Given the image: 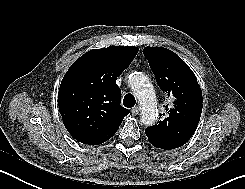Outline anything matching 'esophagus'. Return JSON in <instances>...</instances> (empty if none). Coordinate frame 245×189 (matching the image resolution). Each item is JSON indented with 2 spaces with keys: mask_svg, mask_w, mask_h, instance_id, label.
Instances as JSON below:
<instances>
[{
  "mask_svg": "<svg viewBox=\"0 0 245 189\" xmlns=\"http://www.w3.org/2000/svg\"><path fill=\"white\" fill-rule=\"evenodd\" d=\"M131 112H132V115H133V116H136V115H138V113L140 112V109H139V107H134V108L131 110Z\"/></svg>",
  "mask_w": 245,
  "mask_h": 189,
  "instance_id": "obj_1",
  "label": "esophagus"
}]
</instances>
